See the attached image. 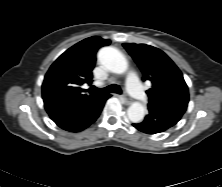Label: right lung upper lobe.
I'll list each match as a JSON object with an SVG mask.
<instances>
[{
  "instance_id": "cb5924a9",
  "label": "right lung upper lobe",
  "mask_w": 222,
  "mask_h": 187,
  "mask_svg": "<svg viewBox=\"0 0 222 187\" xmlns=\"http://www.w3.org/2000/svg\"><path fill=\"white\" fill-rule=\"evenodd\" d=\"M109 44L110 40L93 36L66 50L46 73L42 84V96L51 93L77 103H87L106 97L108 94L85 90L82 85L92 83L96 52Z\"/></svg>"
}]
</instances>
